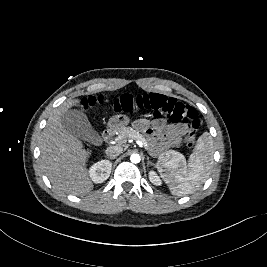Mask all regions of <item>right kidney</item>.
Listing matches in <instances>:
<instances>
[{
    "label": "right kidney",
    "mask_w": 267,
    "mask_h": 267,
    "mask_svg": "<svg viewBox=\"0 0 267 267\" xmlns=\"http://www.w3.org/2000/svg\"><path fill=\"white\" fill-rule=\"evenodd\" d=\"M111 168V162L108 160H101L90 167L89 176L94 183H102L109 178Z\"/></svg>",
    "instance_id": "1"
}]
</instances>
